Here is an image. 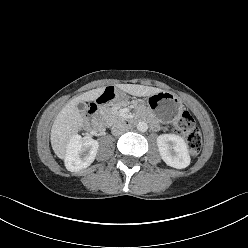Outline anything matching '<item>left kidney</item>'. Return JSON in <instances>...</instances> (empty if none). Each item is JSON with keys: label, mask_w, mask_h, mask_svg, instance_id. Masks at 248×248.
<instances>
[{"label": "left kidney", "mask_w": 248, "mask_h": 248, "mask_svg": "<svg viewBox=\"0 0 248 248\" xmlns=\"http://www.w3.org/2000/svg\"><path fill=\"white\" fill-rule=\"evenodd\" d=\"M157 146L163 161L176 169L186 168L190 156L183 138L175 134H162L157 138Z\"/></svg>", "instance_id": "5707ae66"}]
</instances>
